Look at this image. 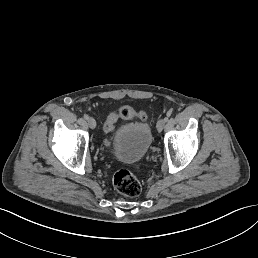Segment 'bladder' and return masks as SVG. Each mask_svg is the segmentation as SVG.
Here are the masks:
<instances>
[{"mask_svg":"<svg viewBox=\"0 0 258 258\" xmlns=\"http://www.w3.org/2000/svg\"><path fill=\"white\" fill-rule=\"evenodd\" d=\"M152 133L146 122L138 121L122 125L112 137V147L119 159L135 162L148 152Z\"/></svg>","mask_w":258,"mask_h":258,"instance_id":"bladder-1","label":"bladder"}]
</instances>
